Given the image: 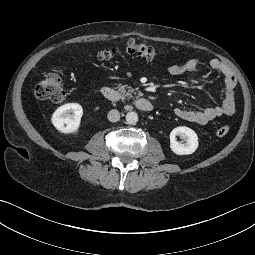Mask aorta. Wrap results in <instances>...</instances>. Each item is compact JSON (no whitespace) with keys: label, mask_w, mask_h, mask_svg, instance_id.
I'll return each instance as SVG.
<instances>
[{"label":"aorta","mask_w":255,"mask_h":255,"mask_svg":"<svg viewBox=\"0 0 255 255\" xmlns=\"http://www.w3.org/2000/svg\"><path fill=\"white\" fill-rule=\"evenodd\" d=\"M125 119L128 124L134 125L138 122V114L134 111L128 112Z\"/></svg>","instance_id":"762f6f07"}]
</instances>
